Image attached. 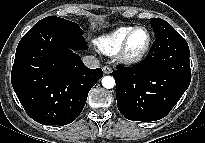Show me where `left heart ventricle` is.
Instances as JSON below:
<instances>
[{
	"instance_id": "left-heart-ventricle-1",
	"label": "left heart ventricle",
	"mask_w": 205,
	"mask_h": 143,
	"mask_svg": "<svg viewBox=\"0 0 205 143\" xmlns=\"http://www.w3.org/2000/svg\"><path fill=\"white\" fill-rule=\"evenodd\" d=\"M147 33L145 30H137L133 33L128 44V52L130 54H138L146 45Z\"/></svg>"
}]
</instances>
